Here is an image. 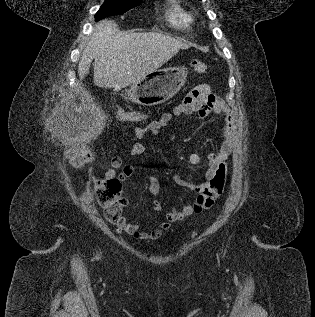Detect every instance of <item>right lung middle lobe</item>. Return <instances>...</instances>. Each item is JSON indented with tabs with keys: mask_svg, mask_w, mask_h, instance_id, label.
<instances>
[{
	"mask_svg": "<svg viewBox=\"0 0 315 317\" xmlns=\"http://www.w3.org/2000/svg\"><path fill=\"white\" fill-rule=\"evenodd\" d=\"M141 0H105L95 15L96 21L111 15L123 14L139 4Z\"/></svg>",
	"mask_w": 315,
	"mask_h": 317,
	"instance_id": "dd1d6c3e",
	"label": "right lung middle lobe"
}]
</instances>
